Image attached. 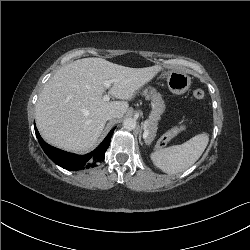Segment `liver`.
Wrapping results in <instances>:
<instances>
[{
    "label": "liver",
    "mask_w": 250,
    "mask_h": 250,
    "mask_svg": "<svg viewBox=\"0 0 250 250\" xmlns=\"http://www.w3.org/2000/svg\"><path fill=\"white\" fill-rule=\"evenodd\" d=\"M161 67L130 68L102 58H84L60 68L45 84L36 103V124L45 141L70 152L92 149L101 135L106 114L127 112V100L151 81ZM105 80L109 93L120 101H104Z\"/></svg>",
    "instance_id": "1"
}]
</instances>
